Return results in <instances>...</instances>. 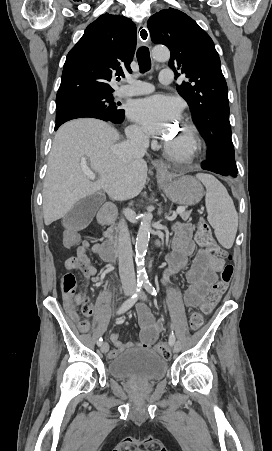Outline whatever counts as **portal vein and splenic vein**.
<instances>
[{
    "label": "portal vein and splenic vein",
    "mask_w": 272,
    "mask_h": 451,
    "mask_svg": "<svg viewBox=\"0 0 272 451\" xmlns=\"http://www.w3.org/2000/svg\"><path fill=\"white\" fill-rule=\"evenodd\" d=\"M83 174L89 178V180H95L96 174L94 172H91V170H84ZM182 212H185L184 206H180V208H177L176 214H182ZM176 216H172V218H169V220H175Z\"/></svg>",
    "instance_id": "portal-vein-and-splenic-vein-1"
}]
</instances>
